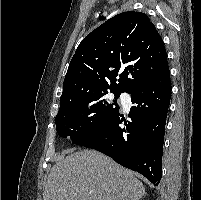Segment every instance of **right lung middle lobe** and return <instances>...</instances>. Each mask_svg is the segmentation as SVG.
Segmentation results:
<instances>
[{
    "label": "right lung middle lobe",
    "instance_id": "dd1d6c3e",
    "mask_svg": "<svg viewBox=\"0 0 201 200\" xmlns=\"http://www.w3.org/2000/svg\"><path fill=\"white\" fill-rule=\"evenodd\" d=\"M114 93L115 98L106 101L102 98L108 91L88 93L60 103L55 118L56 130L61 137L75 140L98 128L119 110L117 99L121 93Z\"/></svg>",
    "mask_w": 201,
    "mask_h": 200
}]
</instances>
